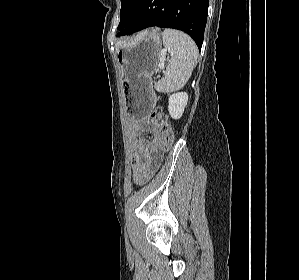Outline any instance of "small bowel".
<instances>
[{
	"label": "small bowel",
	"instance_id": "1",
	"mask_svg": "<svg viewBox=\"0 0 299 280\" xmlns=\"http://www.w3.org/2000/svg\"><path fill=\"white\" fill-rule=\"evenodd\" d=\"M133 148V173L137 181L149 178L159 167L166 146L164 132L150 121L133 120L130 123ZM153 133L151 139L141 137L144 132Z\"/></svg>",
	"mask_w": 299,
	"mask_h": 280
}]
</instances>
